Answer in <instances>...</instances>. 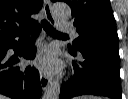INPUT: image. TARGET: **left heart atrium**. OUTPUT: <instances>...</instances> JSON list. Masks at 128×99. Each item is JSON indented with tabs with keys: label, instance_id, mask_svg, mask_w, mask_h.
<instances>
[{
	"label": "left heart atrium",
	"instance_id": "obj_1",
	"mask_svg": "<svg viewBox=\"0 0 128 99\" xmlns=\"http://www.w3.org/2000/svg\"><path fill=\"white\" fill-rule=\"evenodd\" d=\"M35 65L44 73L53 74L58 71L60 63L53 49L47 48L35 59Z\"/></svg>",
	"mask_w": 128,
	"mask_h": 99
}]
</instances>
